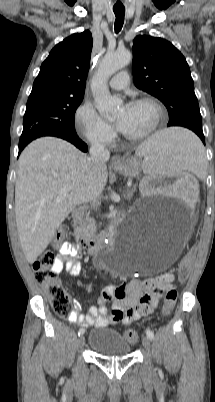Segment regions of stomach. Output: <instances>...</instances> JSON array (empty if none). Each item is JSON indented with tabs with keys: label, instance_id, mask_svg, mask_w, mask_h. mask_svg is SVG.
<instances>
[{
	"label": "stomach",
	"instance_id": "obj_1",
	"mask_svg": "<svg viewBox=\"0 0 215 402\" xmlns=\"http://www.w3.org/2000/svg\"><path fill=\"white\" fill-rule=\"evenodd\" d=\"M114 169L125 176H137L141 171V163L136 157H126L122 164Z\"/></svg>",
	"mask_w": 215,
	"mask_h": 402
}]
</instances>
